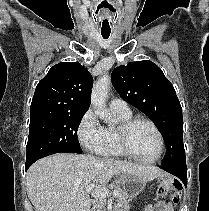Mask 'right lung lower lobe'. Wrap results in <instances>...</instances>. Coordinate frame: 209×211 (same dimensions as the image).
Here are the masks:
<instances>
[{
	"mask_svg": "<svg viewBox=\"0 0 209 211\" xmlns=\"http://www.w3.org/2000/svg\"><path fill=\"white\" fill-rule=\"evenodd\" d=\"M30 165H31V164H26V170L29 168Z\"/></svg>",
	"mask_w": 209,
	"mask_h": 211,
	"instance_id": "right-lung-lower-lobe-1",
	"label": "right lung lower lobe"
}]
</instances>
